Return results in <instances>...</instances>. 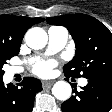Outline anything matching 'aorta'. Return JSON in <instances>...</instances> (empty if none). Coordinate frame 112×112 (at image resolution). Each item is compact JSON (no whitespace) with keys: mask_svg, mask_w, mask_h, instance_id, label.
Masks as SVG:
<instances>
[{"mask_svg":"<svg viewBox=\"0 0 112 112\" xmlns=\"http://www.w3.org/2000/svg\"><path fill=\"white\" fill-rule=\"evenodd\" d=\"M25 41L30 48L39 50L46 46L48 35L42 28L33 27L27 31ZM71 93V85L66 81H58L52 88V94L61 101L68 100L71 97Z\"/></svg>","mask_w":112,"mask_h":112,"instance_id":"1","label":"aorta"}]
</instances>
